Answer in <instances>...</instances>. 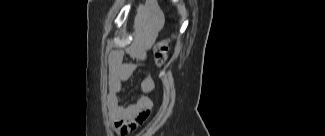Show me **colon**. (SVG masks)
<instances>
[{
	"label": "colon",
	"instance_id": "1",
	"mask_svg": "<svg viewBox=\"0 0 325 136\" xmlns=\"http://www.w3.org/2000/svg\"><path fill=\"white\" fill-rule=\"evenodd\" d=\"M169 43V39H164L159 41L154 48L155 62L158 66L162 65L167 58Z\"/></svg>",
	"mask_w": 325,
	"mask_h": 136
}]
</instances>
